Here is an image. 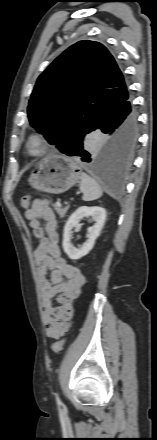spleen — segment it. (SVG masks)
<instances>
[{
  "label": "spleen",
  "mask_w": 157,
  "mask_h": 440,
  "mask_svg": "<svg viewBox=\"0 0 157 440\" xmlns=\"http://www.w3.org/2000/svg\"><path fill=\"white\" fill-rule=\"evenodd\" d=\"M79 189L83 193V201H93L102 196L100 185L86 173L80 174Z\"/></svg>",
  "instance_id": "spleen-1"
}]
</instances>
